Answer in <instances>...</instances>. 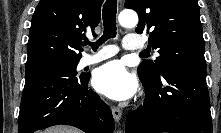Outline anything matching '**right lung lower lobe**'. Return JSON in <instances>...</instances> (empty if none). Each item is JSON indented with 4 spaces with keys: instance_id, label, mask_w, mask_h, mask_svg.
<instances>
[{
    "instance_id": "obj_1",
    "label": "right lung lower lobe",
    "mask_w": 221,
    "mask_h": 133,
    "mask_svg": "<svg viewBox=\"0 0 221 133\" xmlns=\"http://www.w3.org/2000/svg\"><path fill=\"white\" fill-rule=\"evenodd\" d=\"M90 75L76 77L62 65L26 70L18 133H33L66 124L86 133H112L109 107L87 85Z\"/></svg>"
}]
</instances>
